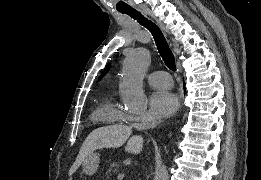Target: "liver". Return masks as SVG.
Returning <instances> with one entry per match:
<instances>
[{
  "mask_svg": "<svg viewBox=\"0 0 261 180\" xmlns=\"http://www.w3.org/2000/svg\"><path fill=\"white\" fill-rule=\"evenodd\" d=\"M132 128L127 126H104V128H97L87 136L83 142L80 152L69 170V176H72L78 168H80L84 160H88L89 156L93 154L94 150H102V148H121L125 142V152L128 154H141L143 146V138L141 136H132Z\"/></svg>",
  "mask_w": 261,
  "mask_h": 180,
  "instance_id": "1",
  "label": "liver"
}]
</instances>
